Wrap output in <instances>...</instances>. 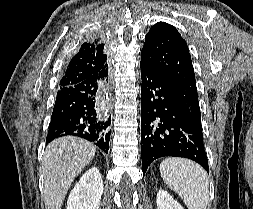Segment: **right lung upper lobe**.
<instances>
[{
    "label": "right lung upper lobe",
    "instance_id": "right-lung-upper-lobe-1",
    "mask_svg": "<svg viewBox=\"0 0 253 209\" xmlns=\"http://www.w3.org/2000/svg\"><path fill=\"white\" fill-rule=\"evenodd\" d=\"M106 60L107 55L103 41L97 39L83 43L79 52L68 63L59 87L72 86L94 75L106 72Z\"/></svg>",
    "mask_w": 253,
    "mask_h": 209
}]
</instances>
